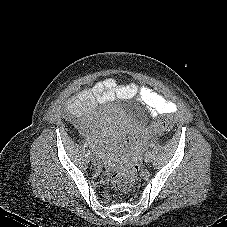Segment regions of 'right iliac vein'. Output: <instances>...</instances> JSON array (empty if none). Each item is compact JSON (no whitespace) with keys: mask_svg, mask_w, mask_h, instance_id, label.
I'll use <instances>...</instances> for the list:
<instances>
[{"mask_svg":"<svg viewBox=\"0 0 227 227\" xmlns=\"http://www.w3.org/2000/svg\"><path fill=\"white\" fill-rule=\"evenodd\" d=\"M88 155H89V158L92 160V161H95V157L94 155L88 150Z\"/></svg>","mask_w":227,"mask_h":227,"instance_id":"63e3f726","label":"right iliac vein"}]
</instances>
